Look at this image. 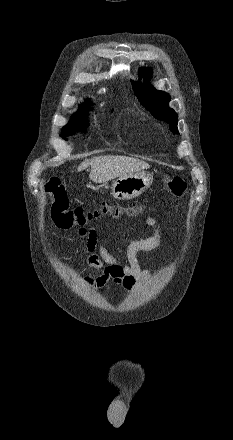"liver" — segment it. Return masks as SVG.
<instances>
[{
    "label": "liver",
    "instance_id": "1",
    "mask_svg": "<svg viewBox=\"0 0 233 440\" xmlns=\"http://www.w3.org/2000/svg\"><path fill=\"white\" fill-rule=\"evenodd\" d=\"M89 166L91 167L89 178L95 183L108 182L150 167L148 163L133 157L105 155L84 160L77 170L80 172Z\"/></svg>",
    "mask_w": 233,
    "mask_h": 440
}]
</instances>
